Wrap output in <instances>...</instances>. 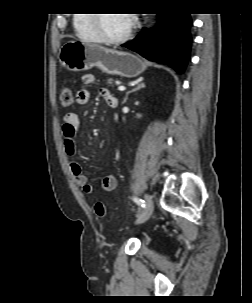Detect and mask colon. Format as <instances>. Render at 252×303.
Wrapping results in <instances>:
<instances>
[{"label":"colon","instance_id":"1","mask_svg":"<svg viewBox=\"0 0 252 303\" xmlns=\"http://www.w3.org/2000/svg\"><path fill=\"white\" fill-rule=\"evenodd\" d=\"M60 102L65 108H69L73 105V93L71 88L64 87L61 89ZM93 210L98 218H104L106 216V207L102 201H96L94 203Z\"/></svg>","mask_w":252,"mask_h":303}]
</instances>
